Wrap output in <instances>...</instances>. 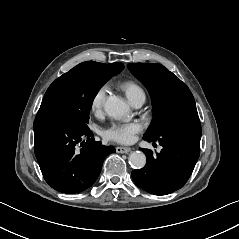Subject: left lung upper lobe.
<instances>
[{"mask_svg":"<svg viewBox=\"0 0 239 239\" xmlns=\"http://www.w3.org/2000/svg\"><path fill=\"white\" fill-rule=\"evenodd\" d=\"M128 68L152 98L154 117L144 135L146 138H159L164 129L175 123L199 120L191 91L175 74L154 63L128 64Z\"/></svg>","mask_w":239,"mask_h":239,"instance_id":"obj_1","label":"left lung upper lobe"}]
</instances>
